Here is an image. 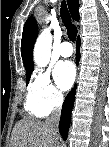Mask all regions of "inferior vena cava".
<instances>
[{"label":"inferior vena cava","instance_id":"1","mask_svg":"<svg viewBox=\"0 0 109 147\" xmlns=\"http://www.w3.org/2000/svg\"><path fill=\"white\" fill-rule=\"evenodd\" d=\"M62 102H63V96H58L57 104L53 109L51 115L46 119L45 122L49 126L51 133L53 135L54 147H59L58 125L61 115Z\"/></svg>","mask_w":109,"mask_h":147}]
</instances>
